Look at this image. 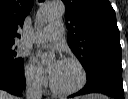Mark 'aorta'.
I'll use <instances>...</instances> for the list:
<instances>
[{
	"label": "aorta",
	"instance_id": "762f6f07",
	"mask_svg": "<svg viewBox=\"0 0 128 99\" xmlns=\"http://www.w3.org/2000/svg\"><path fill=\"white\" fill-rule=\"evenodd\" d=\"M65 7L62 1L53 0L50 1L39 13V20L41 22H47L54 19H59L64 15ZM41 60L44 63H48L54 59V53L50 51H40Z\"/></svg>",
	"mask_w": 128,
	"mask_h": 99
}]
</instances>
